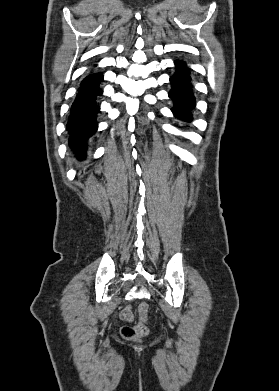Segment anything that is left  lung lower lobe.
Instances as JSON below:
<instances>
[{
    "mask_svg": "<svg viewBox=\"0 0 279 391\" xmlns=\"http://www.w3.org/2000/svg\"><path fill=\"white\" fill-rule=\"evenodd\" d=\"M177 72L170 78L172 89L169 97L174 102L171 109L174 116L185 122L192 121L191 111L195 107V97L192 92L191 77L189 69L185 67V62L175 61Z\"/></svg>",
    "mask_w": 279,
    "mask_h": 391,
    "instance_id": "left-lung-lower-lobe-1",
    "label": "left lung lower lobe"
}]
</instances>
